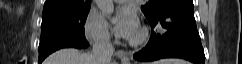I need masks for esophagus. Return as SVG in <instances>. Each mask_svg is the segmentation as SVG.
Returning <instances> with one entry per match:
<instances>
[{
  "mask_svg": "<svg viewBox=\"0 0 242 64\" xmlns=\"http://www.w3.org/2000/svg\"><path fill=\"white\" fill-rule=\"evenodd\" d=\"M121 63L122 64H130V60L127 56L121 57Z\"/></svg>",
  "mask_w": 242,
  "mask_h": 64,
  "instance_id": "1",
  "label": "esophagus"
}]
</instances>
